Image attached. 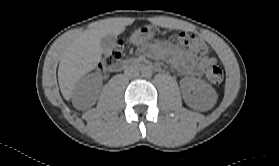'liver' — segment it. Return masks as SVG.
<instances>
[{"label": "liver", "mask_w": 279, "mask_h": 166, "mask_svg": "<svg viewBox=\"0 0 279 166\" xmlns=\"http://www.w3.org/2000/svg\"><path fill=\"white\" fill-rule=\"evenodd\" d=\"M125 26L121 18L104 20L99 28L85 30L66 46L58 67L59 86L66 100L71 98L78 81L101 61V39L109 34L120 35Z\"/></svg>", "instance_id": "obj_1"}]
</instances>
